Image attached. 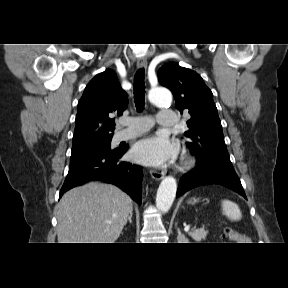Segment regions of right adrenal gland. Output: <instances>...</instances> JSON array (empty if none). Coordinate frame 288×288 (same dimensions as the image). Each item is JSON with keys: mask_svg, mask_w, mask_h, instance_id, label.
Returning a JSON list of instances; mask_svg holds the SVG:
<instances>
[{"mask_svg": "<svg viewBox=\"0 0 288 288\" xmlns=\"http://www.w3.org/2000/svg\"><path fill=\"white\" fill-rule=\"evenodd\" d=\"M132 214H133V209H131V211H130V215H129V217H128V221L130 222V223H132Z\"/></svg>", "mask_w": 288, "mask_h": 288, "instance_id": "right-adrenal-gland-1", "label": "right adrenal gland"}]
</instances>
